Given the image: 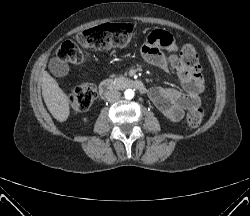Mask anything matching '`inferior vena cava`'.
<instances>
[{
    "label": "inferior vena cava",
    "instance_id": "inferior-vena-cava-1",
    "mask_svg": "<svg viewBox=\"0 0 250 216\" xmlns=\"http://www.w3.org/2000/svg\"><path fill=\"white\" fill-rule=\"evenodd\" d=\"M121 93L118 90H111L107 93L108 102H116L120 99Z\"/></svg>",
    "mask_w": 250,
    "mask_h": 216
}]
</instances>
